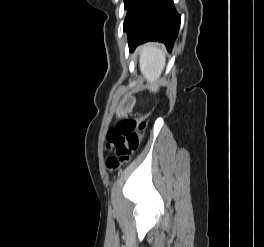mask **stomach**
<instances>
[{
    "mask_svg": "<svg viewBox=\"0 0 264 247\" xmlns=\"http://www.w3.org/2000/svg\"><path fill=\"white\" fill-rule=\"evenodd\" d=\"M130 103H132V94H125V104H124V107L125 108H130L131 107V104ZM123 110H124L123 108L120 110L121 116H123V114H122V111Z\"/></svg>",
    "mask_w": 264,
    "mask_h": 247,
    "instance_id": "obj_1",
    "label": "stomach"
}]
</instances>
